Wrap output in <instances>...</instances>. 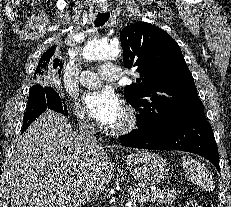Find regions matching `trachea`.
<instances>
[{"label":"trachea","mask_w":231,"mask_h":207,"mask_svg":"<svg viewBox=\"0 0 231 207\" xmlns=\"http://www.w3.org/2000/svg\"><path fill=\"white\" fill-rule=\"evenodd\" d=\"M110 17L109 13H98L97 18L95 20V26L99 27L105 24L106 21H108Z\"/></svg>","instance_id":"obj_1"}]
</instances>
